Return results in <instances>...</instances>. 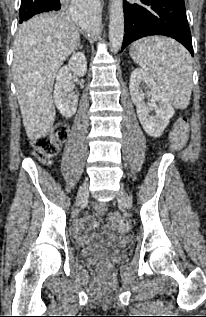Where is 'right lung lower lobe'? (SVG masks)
<instances>
[{
	"label": "right lung lower lobe",
	"mask_w": 206,
	"mask_h": 317,
	"mask_svg": "<svg viewBox=\"0 0 206 317\" xmlns=\"http://www.w3.org/2000/svg\"><path fill=\"white\" fill-rule=\"evenodd\" d=\"M59 2H61V0H44V1H40L39 3H41L45 7H51V6L57 5Z\"/></svg>",
	"instance_id": "right-lung-lower-lobe-1"
}]
</instances>
